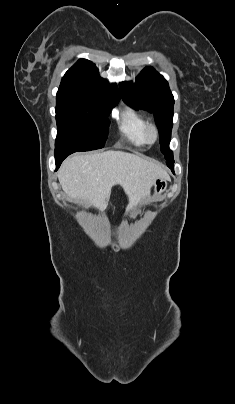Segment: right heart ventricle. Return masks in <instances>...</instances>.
<instances>
[{
  "instance_id": "1",
  "label": "right heart ventricle",
  "mask_w": 235,
  "mask_h": 404,
  "mask_svg": "<svg viewBox=\"0 0 235 404\" xmlns=\"http://www.w3.org/2000/svg\"><path fill=\"white\" fill-rule=\"evenodd\" d=\"M148 122L146 118L134 108H126L120 117L119 132L122 137L136 147L145 145L144 130Z\"/></svg>"
}]
</instances>
